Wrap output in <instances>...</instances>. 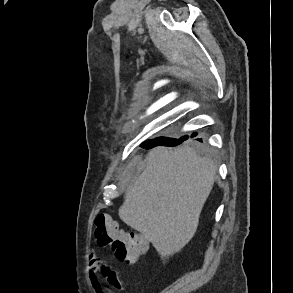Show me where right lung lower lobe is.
<instances>
[{"label":"right lung lower lobe","mask_w":293,"mask_h":293,"mask_svg":"<svg viewBox=\"0 0 293 293\" xmlns=\"http://www.w3.org/2000/svg\"><path fill=\"white\" fill-rule=\"evenodd\" d=\"M197 134H192L191 136H183L179 139H175V138H168V137H158L152 140H147L144 143H142L141 147L143 148H152L158 145H163V146H176L178 144H181L183 141L187 140L188 138H193L195 137ZM199 141H201V139H197Z\"/></svg>","instance_id":"right-lung-lower-lobe-1"}]
</instances>
